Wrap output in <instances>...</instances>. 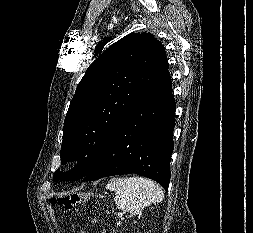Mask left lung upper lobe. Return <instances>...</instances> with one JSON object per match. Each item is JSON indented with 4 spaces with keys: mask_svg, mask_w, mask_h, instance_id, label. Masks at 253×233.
Masks as SVG:
<instances>
[{
    "mask_svg": "<svg viewBox=\"0 0 253 233\" xmlns=\"http://www.w3.org/2000/svg\"><path fill=\"white\" fill-rule=\"evenodd\" d=\"M167 68L164 46L149 33H130L102 52L78 84L64 121L61 163L78 165L57 170L53 179L84 178L118 124Z\"/></svg>",
    "mask_w": 253,
    "mask_h": 233,
    "instance_id": "1",
    "label": "left lung upper lobe"
}]
</instances>
